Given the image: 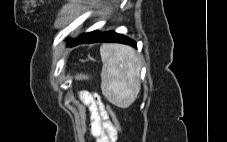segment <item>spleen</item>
I'll return each instance as SVG.
<instances>
[{
    "instance_id": "obj_1",
    "label": "spleen",
    "mask_w": 227,
    "mask_h": 142,
    "mask_svg": "<svg viewBox=\"0 0 227 142\" xmlns=\"http://www.w3.org/2000/svg\"><path fill=\"white\" fill-rule=\"evenodd\" d=\"M100 54L102 93L112 104L127 108L140 92V56L131 47L121 44H103Z\"/></svg>"
}]
</instances>
